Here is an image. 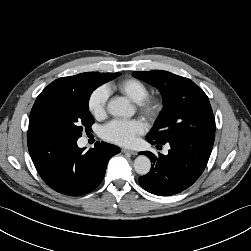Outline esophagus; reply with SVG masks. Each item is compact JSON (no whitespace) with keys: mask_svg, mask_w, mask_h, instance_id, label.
I'll return each mask as SVG.
<instances>
[{"mask_svg":"<svg viewBox=\"0 0 251 251\" xmlns=\"http://www.w3.org/2000/svg\"><path fill=\"white\" fill-rule=\"evenodd\" d=\"M122 153H129L131 155H137V152L134 150L122 149Z\"/></svg>","mask_w":251,"mask_h":251,"instance_id":"obj_1","label":"esophagus"}]
</instances>
